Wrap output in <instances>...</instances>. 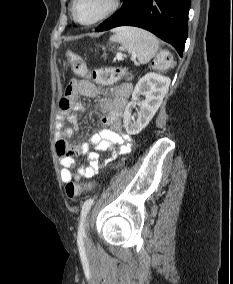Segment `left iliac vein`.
<instances>
[{"label": "left iliac vein", "mask_w": 233, "mask_h": 284, "mask_svg": "<svg viewBox=\"0 0 233 284\" xmlns=\"http://www.w3.org/2000/svg\"><path fill=\"white\" fill-rule=\"evenodd\" d=\"M84 227H85V229H86V233H88V229H89V217L86 218Z\"/></svg>", "instance_id": "1"}]
</instances>
